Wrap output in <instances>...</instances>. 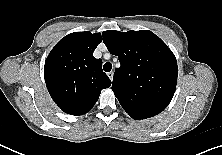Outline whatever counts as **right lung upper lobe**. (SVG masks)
Returning <instances> with one entry per match:
<instances>
[{
    "instance_id": "cb5924a9",
    "label": "right lung upper lobe",
    "mask_w": 222,
    "mask_h": 155,
    "mask_svg": "<svg viewBox=\"0 0 222 155\" xmlns=\"http://www.w3.org/2000/svg\"><path fill=\"white\" fill-rule=\"evenodd\" d=\"M100 33L74 32L62 38L49 53L44 78L53 101L67 114L82 115L95 105L111 81L102 60L93 57Z\"/></svg>"
}]
</instances>
